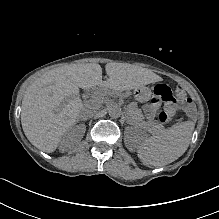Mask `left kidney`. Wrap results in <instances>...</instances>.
I'll list each match as a JSON object with an SVG mask.
<instances>
[{
  "instance_id": "left-kidney-1",
  "label": "left kidney",
  "mask_w": 219,
  "mask_h": 219,
  "mask_svg": "<svg viewBox=\"0 0 219 219\" xmlns=\"http://www.w3.org/2000/svg\"><path fill=\"white\" fill-rule=\"evenodd\" d=\"M135 134H136V136H137L138 138H141V137H142V134H141L139 131H136Z\"/></svg>"
}]
</instances>
